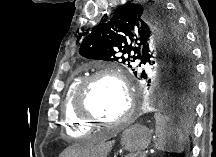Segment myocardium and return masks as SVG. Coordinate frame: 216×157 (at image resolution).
Segmentation results:
<instances>
[{"label":"myocardium","instance_id":"myocardium-1","mask_svg":"<svg viewBox=\"0 0 216 157\" xmlns=\"http://www.w3.org/2000/svg\"><path fill=\"white\" fill-rule=\"evenodd\" d=\"M100 78H111L116 81L125 93L127 100V109L124 114L114 122H106L97 118L89 109V93L91 85ZM74 112L78 118L89 125H102L106 127H120L128 124L135 112V101L133 93L124 76L116 70L104 69L93 73L81 80L76 88L74 101Z\"/></svg>","mask_w":216,"mask_h":157}]
</instances>
